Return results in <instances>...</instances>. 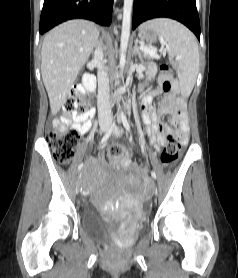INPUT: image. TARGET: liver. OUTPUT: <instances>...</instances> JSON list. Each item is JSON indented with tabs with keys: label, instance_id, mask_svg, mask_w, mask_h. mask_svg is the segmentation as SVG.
I'll use <instances>...</instances> for the list:
<instances>
[{
	"label": "liver",
	"instance_id": "1",
	"mask_svg": "<svg viewBox=\"0 0 238 278\" xmlns=\"http://www.w3.org/2000/svg\"><path fill=\"white\" fill-rule=\"evenodd\" d=\"M98 38L97 26L81 19L62 23L45 36L41 49V75L52 114L66 102Z\"/></svg>",
	"mask_w": 238,
	"mask_h": 278
}]
</instances>
